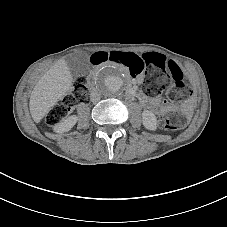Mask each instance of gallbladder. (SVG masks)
<instances>
[{"mask_svg": "<svg viewBox=\"0 0 227 227\" xmlns=\"http://www.w3.org/2000/svg\"><path fill=\"white\" fill-rule=\"evenodd\" d=\"M67 64L73 77L86 75L92 68L89 56L85 52L71 54L67 57Z\"/></svg>", "mask_w": 227, "mask_h": 227, "instance_id": "bac80fb5", "label": "gallbladder"}]
</instances>
